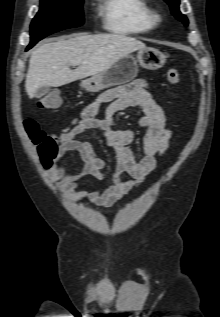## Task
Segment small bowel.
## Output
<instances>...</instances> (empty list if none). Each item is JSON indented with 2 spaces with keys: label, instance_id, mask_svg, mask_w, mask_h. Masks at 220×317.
I'll return each mask as SVG.
<instances>
[{
  "label": "small bowel",
  "instance_id": "small-bowel-1",
  "mask_svg": "<svg viewBox=\"0 0 220 317\" xmlns=\"http://www.w3.org/2000/svg\"><path fill=\"white\" fill-rule=\"evenodd\" d=\"M102 104L108 106L104 117L100 118L98 112ZM130 106L141 107L144 112L140 121L142 156L139 159L128 148L134 139V131L114 128L115 115ZM91 130L99 131L105 143L114 150L116 167L108 178L110 184L106 189L78 190L80 180L84 177L91 176L99 181L107 179L104 174L107 161L95 154L90 141L77 139ZM54 137L59 142V152L53 164L46 168L51 180L61 182L72 201L87 200L98 207H109L141 185L155 170L157 158L169 149L172 132L166 126L163 107L155 100L147 83L136 79L102 92L82 111L80 118ZM70 151L80 153L84 161L81 170L73 174L67 173L65 167L58 164V159Z\"/></svg>",
  "mask_w": 220,
  "mask_h": 317
}]
</instances>
